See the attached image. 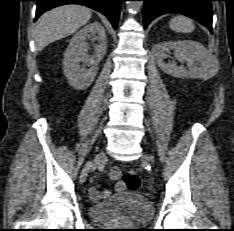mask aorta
Here are the masks:
<instances>
[{"instance_id": "obj_1", "label": "aorta", "mask_w": 234, "mask_h": 231, "mask_svg": "<svg viewBox=\"0 0 234 231\" xmlns=\"http://www.w3.org/2000/svg\"><path fill=\"white\" fill-rule=\"evenodd\" d=\"M142 6V1H128L127 7L131 13H137Z\"/></svg>"}]
</instances>
